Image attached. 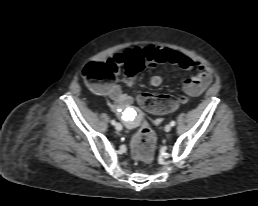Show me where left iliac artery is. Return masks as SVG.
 <instances>
[{"instance_id":"1","label":"left iliac artery","mask_w":258,"mask_h":206,"mask_svg":"<svg viewBox=\"0 0 258 206\" xmlns=\"http://www.w3.org/2000/svg\"><path fill=\"white\" fill-rule=\"evenodd\" d=\"M175 124H176L175 121H171V122H170V125H171V126H175Z\"/></svg>"}]
</instances>
